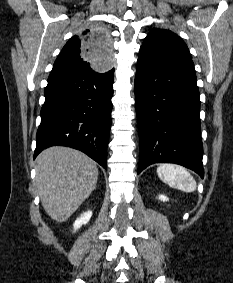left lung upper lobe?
Listing matches in <instances>:
<instances>
[{
	"label": "left lung upper lobe",
	"mask_w": 233,
	"mask_h": 283,
	"mask_svg": "<svg viewBox=\"0 0 233 283\" xmlns=\"http://www.w3.org/2000/svg\"><path fill=\"white\" fill-rule=\"evenodd\" d=\"M140 50L161 56H179L191 59L184 41L178 35L166 29H152L144 39Z\"/></svg>",
	"instance_id": "left-lung-upper-lobe-1"
}]
</instances>
